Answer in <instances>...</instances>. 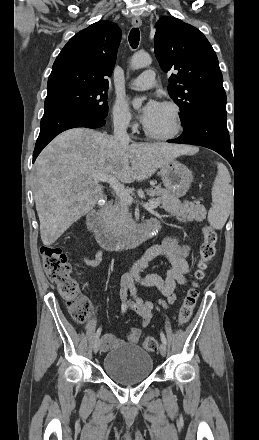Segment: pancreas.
I'll use <instances>...</instances> for the list:
<instances>
[{"label": "pancreas", "mask_w": 259, "mask_h": 440, "mask_svg": "<svg viewBox=\"0 0 259 440\" xmlns=\"http://www.w3.org/2000/svg\"><path fill=\"white\" fill-rule=\"evenodd\" d=\"M146 192L151 197L157 196V199L152 200L158 201L161 204L160 208L181 220H202L206 216L205 207L199 201L182 203L175 195L163 188L149 189ZM129 205L127 202L119 200L110 209L106 219V227L111 233L116 235L127 233L133 224Z\"/></svg>", "instance_id": "pancreas-1"}]
</instances>
